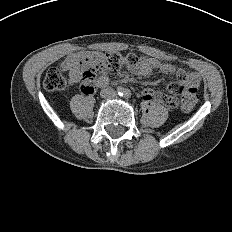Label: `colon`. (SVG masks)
Masks as SVG:
<instances>
[{"label":"colon","instance_id":"1","mask_svg":"<svg viewBox=\"0 0 232 232\" xmlns=\"http://www.w3.org/2000/svg\"><path fill=\"white\" fill-rule=\"evenodd\" d=\"M144 61L134 54L121 55L119 53L90 54L80 61L83 67L81 91L91 94L94 91V82L98 74L105 71H118L122 67L135 68ZM65 64V63H64ZM63 68L65 69V65ZM66 79L60 69L50 68L44 78V87L49 91L61 90L66 87ZM197 88L189 87L180 82L169 89V94L159 93L156 100L167 107H174L178 103L182 110H193L197 102Z\"/></svg>","mask_w":232,"mask_h":232}]
</instances>
